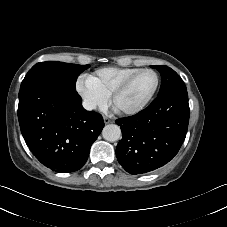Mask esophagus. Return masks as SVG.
<instances>
[{
  "label": "esophagus",
  "mask_w": 227,
  "mask_h": 227,
  "mask_svg": "<svg viewBox=\"0 0 227 227\" xmlns=\"http://www.w3.org/2000/svg\"><path fill=\"white\" fill-rule=\"evenodd\" d=\"M114 120L112 118H109V117H104V123L105 124H110V123H113Z\"/></svg>",
  "instance_id": "34e87169"
}]
</instances>
